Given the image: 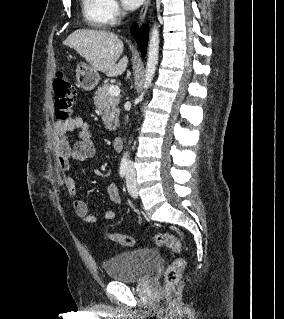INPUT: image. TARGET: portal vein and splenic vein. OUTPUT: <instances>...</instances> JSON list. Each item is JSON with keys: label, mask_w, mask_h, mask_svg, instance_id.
I'll return each mask as SVG.
<instances>
[{"label": "portal vein and splenic vein", "mask_w": 284, "mask_h": 319, "mask_svg": "<svg viewBox=\"0 0 284 319\" xmlns=\"http://www.w3.org/2000/svg\"><path fill=\"white\" fill-rule=\"evenodd\" d=\"M108 92L111 96H119L120 88L117 85H111L108 89Z\"/></svg>", "instance_id": "portal-vein-and-splenic-vein-1"}]
</instances>
